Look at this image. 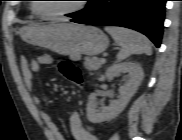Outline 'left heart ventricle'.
Here are the masks:
<instances>
[{"mask_svg": "<svg viewBox=\"0 0 182 140\" xmlns=\"http://www.w3.org/2000/svg\"><path fill=\"white\" fill-rule=\"evenodd\" d=\"M78 5L77 1L71 0H48L37 4L39 11L43 14H54L70 10Z\"/></svg>", "mask_w": 182, "mask_h": 140, "instance_id": "1", "label": "left heart ventricle"}]
</instances>
